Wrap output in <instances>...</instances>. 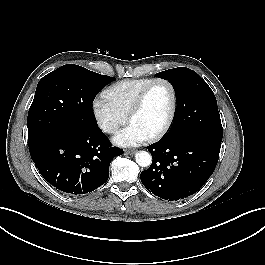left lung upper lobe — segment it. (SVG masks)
I'll use <instances>...</instances> for the list:
<instances>
[{
	"mask_svg": "<svg viewBox=\"0 0 265 265\" xmlns=\"http://www.w3.org/2000/svg\"><path fill=\"white\" fill-rule=\"evenodd\" d=\"M156 76L172 84L177 98L175 119L164 139L189 132L222 139V125L215 95L195 71L177 67L157 73Z\"/></svg>",
	"mask_w": 265,
	"mask_h": 265,
	"instance_id": "obj_1",
	"label": "left lung upper lobe"
}]
</instances>
